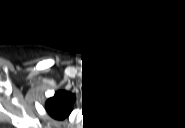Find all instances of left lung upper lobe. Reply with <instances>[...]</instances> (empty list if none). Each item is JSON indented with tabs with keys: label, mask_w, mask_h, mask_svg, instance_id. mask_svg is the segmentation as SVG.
<instances>
[{
	"label": "left lung upper lobe",
	"mask_w": 185,
	"mask_h": 128,
	"mask_svg": "<svg viewBox=\"0 0 185 128\" xmlns=\"http://www.w3.org/2000/svg\"><path fill=\"white\" fill-rule=\"evenodd\" d=\"M133 99L132 98H129L126 100V102H131ZM129 113V110L128 108H126L125 106H121L120 109H119V114L121 115H127Z\"/></svg>",
	"instance_id": "left-lung-upper-lobe-1"
}]
</instances>
